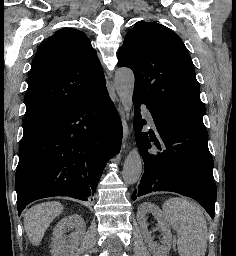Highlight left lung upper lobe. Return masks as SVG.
<instances>
[{
  "label": "left lung upper lobe",
  "mask_w": 236,
  "mask_h": 256,
  "mask_svg": "<svg viewBox=\"0 0 236 256\" xmlns=\"http://www.w3.org/2000/svg\"><path fill=\"white\" fill-rule=\"evenodd\" d=\"M118 66L134 72L133 96L203 124L205 107L194 65L180 37L157 22L139 21L118 52Z\"/></svg>",
  "instance_id": "left-lung-upper-lobe-1"
}]
</instances>
